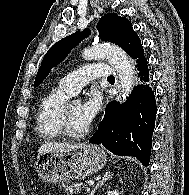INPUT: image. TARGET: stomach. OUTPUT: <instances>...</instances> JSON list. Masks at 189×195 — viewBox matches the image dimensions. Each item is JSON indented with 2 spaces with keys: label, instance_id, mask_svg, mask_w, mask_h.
<instances>
[{
  "label": "stomach",
  "instance_id": "obj_1",
  "mask_svg": "<svg viewBox=\"0 0 189 195\" xmlns=\"http://www.w3.org/2000/svg\"><path fill=\"white\" fill-rule=\"evenodd\" d=\"M106 163L107 155L102 148L85 144L81 148L43 154L35 165L44 182L60 184L92 175Z\"/></svg>",
  "mask_w": 189,
  "mask_h": 195
}]
</instances>
